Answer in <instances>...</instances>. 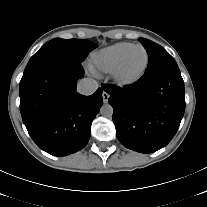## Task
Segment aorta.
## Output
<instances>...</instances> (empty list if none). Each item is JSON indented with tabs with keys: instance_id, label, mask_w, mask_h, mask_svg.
Masks as SVG:
<instances>
[{
	"instance_id": "obj_1",
	"label": "aorta",
	"mask_w": 207,
	"mask_h": 207,
	"mask_svg": "<svg viewBox=\"0 0 207 207\" xmlns=\"http://www.w3.org/2000/svg\"><path fill=\"white\" fill-rule=\"evenodd\" d=\"M100 113L104 117H111L113 115V107L110 104H104L100 108Z\"/></svg>"
}]
</instances>
